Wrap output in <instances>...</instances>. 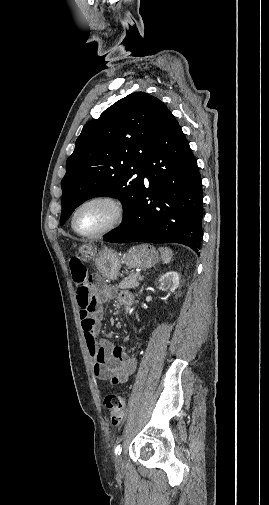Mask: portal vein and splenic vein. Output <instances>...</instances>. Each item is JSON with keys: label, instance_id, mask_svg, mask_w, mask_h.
Listing matches in <instances>:
<instances>
[{"label": "portal vein and splenic vein", "instance_id": "18ae733b", "mask_svg": "<svg viewBox=\"0 0 269 505\" xmlns=\"http://www.w3.org/2000/svg\"><path fill=\"white\" fill-rule=\"evenodd\" d=\"M144 276H139V280H143Z\"/></svg>", "mask_w": 269, "mask_h": 505}]
</instances>
